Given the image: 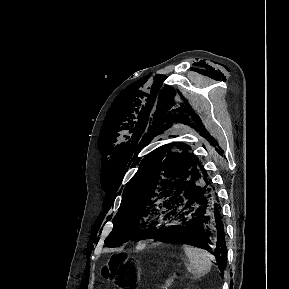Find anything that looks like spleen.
<instances>
[{
  "mask_svg": "<svg viewBox=\"0 0 289 289\" xmlns=\"http://www.w3.org/2000/svg\"><path fill=\"white\" fill-rule=\"evenodd\" d=\"M183 249L189 260L187 269L196 278L205 275L210 270L212 266L211 255L207 251L187 244L183 245Z\"/></svg>",
  "mask_w": 289,
  "mask_h": 289,
  "instance_id": "spleen-1",
  "label": "spleen"
}]
</instances>
